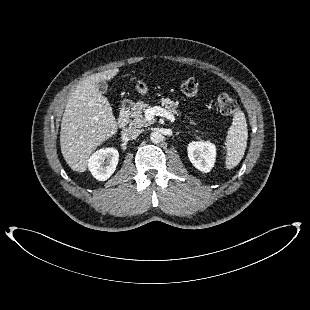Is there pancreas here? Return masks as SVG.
I'll list each match as a JSON object with an SVG mask.
<instances>
[{"label":"pancreas","mask_w":310,"mask_h":310,"mask_svg":"<svg viewBox=\"0 0 310 310\" xmlns=\"http://www.w3.org/2000/svg\"><path fill=\"white\" fill-rule=\"evenodd\" d=\"M162 106L165 107V109L177 116L181 114V112L177 109L178 108V102L171 101L169 98H163L161 100ZM150 108L149 104L144 103L142 101L138 102L135 110L132 114L133 120L130 122V126L133 128H141V127H147L152 122L146 120L143 116V112H145L146 109Z\"/></svg>","instance_id":"pancreas-1"}]
</instances>
